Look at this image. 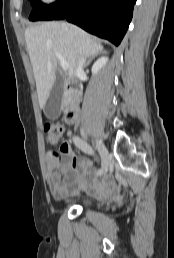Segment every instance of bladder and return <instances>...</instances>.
Instances as JSON below:
<instances>
[{
  "mask_svg": "<svg viewBox=\"0 0 174 258\" xmlns=\"http://www.w3.org/2000/svg\"><path fill=\"white\" fill-rule=\"evenodd\" d=\"M95 202H96V200L93 197H91V196H83L80 199L79 206L82 209L89 210V209L93 208Z\"/></svg>",
  "mask_w": 174,
  "mask_h": 258,
  "instance_id": "1",
  "label": "bladder"
}]
</instances>
